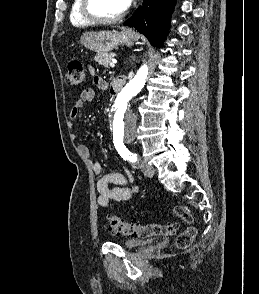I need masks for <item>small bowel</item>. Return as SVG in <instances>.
<instances>
[{"instance_id": "1", "label": "small bowel", "mask_w": 259, "mask_h": 294, "mask_svg": "<svg viewBox=\"0 0 259 294\" xmlns=\"http://www.w3.org/2000/svg\"><path fill=\"white\" fill-rule=\"evenodd\" d=\"M93 75V82L96 88L99 91H106L108 89V83L100 76L95 74L93 69L90 70ZM94 90L90 87L83 89L75 104L73 105L70 118L74 120L82 107L91 102L94 98ZM75 137V134H73ZM79 152L87 157L90 160V164L92 166L93 171L101 175L103 168L99 161L91 159V151L87 145L80 144L78 146ZM132 180V174L129 170L124 169L123 172H113L109 174L102 175L97 181L96 188L98 192L97 202L101 207H108L111 201H127L129 200L135 193L138 192V187L133 186L130 187L129 184ZM113 185L114 187H110Z\"/></svg>"}]
</instances>
